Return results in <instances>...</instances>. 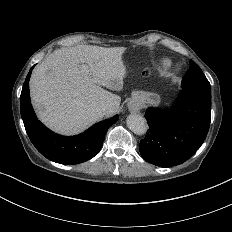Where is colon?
<instances>
[{
  "label": "colon",
  "mask_w": 232,
  "mask_h": 232,
  "mask_svg": "<svg viewBox=\"0 0 232 232\" xmlns=\"http://www.w3.org/2000/svg\"><path fill=\"white\" fill-rule=\"evenodd\" d=\"M142 72H143V73H150V72H151V69H150V68H143V69H142Z\"/></svg>",
  "instance_id": "5ec220e1"
}]
</instances>
